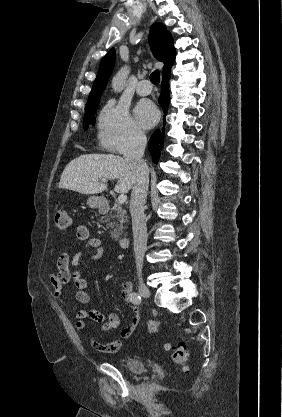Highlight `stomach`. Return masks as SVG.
<instances>
[{
	"mask_svg": "<svg viewBox=\"0 0 282 417\" xmlns=\"http://www.w3.org/2000/svg\"><path fill=\"white\" fill-rule=\"evenodd\" d=\"M106 198L104 196H89L87 198V204H89L90 209H99V206L105 202Z\"/></svg>",
	"mask_w": 282,
	"mask_h": 417,
	"instance_id": "stomach-1",
	"label": "stomach"
}]
</instances>
